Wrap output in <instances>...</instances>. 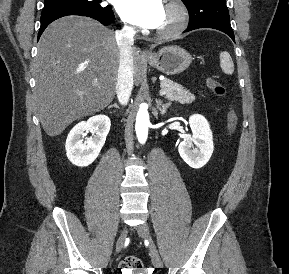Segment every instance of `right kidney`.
Here are the masks:
<instances>
[{
    "instance_id": "1",
    "label": "right kidney",
    "mask_w": 289,
    "mask_h": 274,
    "mask_svg": "<svg viewBox=\"0 0 289 274\" xmlns=\"http://www.w3.org/2000/svg\"><path fill=\"white\" fill-rule=\"evenodd\" d=\"M111 122L106 115H96L76 124L66 139V155L70 162L79 167L92 164L98 157L109 133ZM94 136L83 142L86 132Z\"/></svg>"
}]
</instances>
